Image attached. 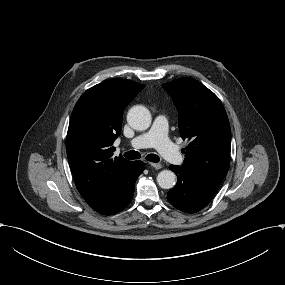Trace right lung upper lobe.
<instances>
[{
	"instance_id": "1",
	"label": "right lung upper lobe",
	"mask_w": 285,
	"mask_h": 285,
	"mask_svg": "<svg viewBox=\"0 0 285 285\" xmlns=\"http://www.w3.org/2000/svg\"><path fill=\"white\" fill-rule=\"evenodd\" d=\"M144 88L126 79L101 82L79 98L66 137L69 166L81 196L90 207L103 202L131 164L113 158L125 106Z\"/></svg>"
}]
</instances>
